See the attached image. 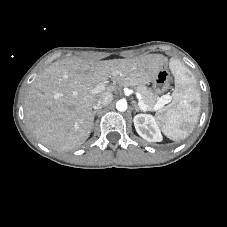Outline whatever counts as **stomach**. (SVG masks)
Instances as JSON below:
<instances>
[{"label": "stomach", "instance_id": "obj_1", "mask_svg": "<svg viewBox=\"0 0 227 227\" xmlns=\"http://www.w3.org/2000/svg\"><path fill=\"white\" fill-rule=\"evenodd\" d=\"M153 89L156 94H163L166 92L171 83V76L167 70V65H162V69L153 78Z\"/></svg>", "mask_w": 227, "mask_h": 227}]
</instances>
